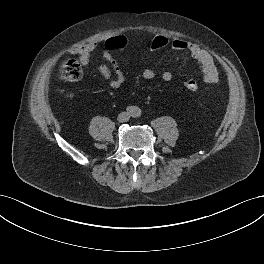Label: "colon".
Returning a JSON list of instances; mask_svg holds the SVG:
<instances>
[{"label": "colon", "instance_id": "1", "mask_svg": "<svg viewBox=\"0 0 264 264\" xmlns=\"http://www.w3.org/2000/svg\"><path fill=\"white\" fill-rule=\"evenodd\" d=\"M169 43L166 36L155 35L150 43V49L153 52L163 50ZM128 45V38L124 34H117L109 37L104 44V47L110 51L123 50ZM60 74L62 78L68 81H78L82 77V68L79 62L75 59L67 58L61 62ZM184 88L188 91H196L199 89V82L192 78L184 82Z\"/></svg>", "mask_w": 264, "mask_h": 264}]
</instances>
